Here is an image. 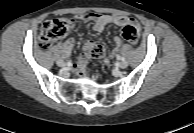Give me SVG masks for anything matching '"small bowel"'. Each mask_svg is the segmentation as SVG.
<instances>
[{
    "instance_id": "1",
    "label": "small bowel",
    "mask_w": 194,
    "mask_h": 133,
    "mask_svg": "<svg viewBox=\"0 0 194 133\" xmlns=\"http://www.w3.org/2000/svg\"><path fill=\"white\" fill-rule=\"evenodd\" d=\"M78 20L88 22L92 21L94 23L93 29L96 32H102L106 25L114 24L120 27L132 26L136 29L138 35L140 32L139 23L127 16L109 15V14H99V13H86L84 15H79L70 20V26L75 27ZM114 48L111 51L109 58H113L119 52L122 45V41L119 37L113 39ZM94 44L92 41H88L84 44L83 49L89 51L90 47ZM75 45V40L73 38H68L61 44V53L64 57H68Z\"/></svg>"
}]
</instances>
